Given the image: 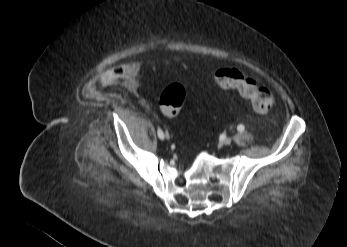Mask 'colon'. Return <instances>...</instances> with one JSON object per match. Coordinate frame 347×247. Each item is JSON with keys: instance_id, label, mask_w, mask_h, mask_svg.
I'll return each instance as SVG.
<instances>
[{"instance_id": "obj_1", "label": "colon", "mask_w": 347, "mask_h": 247, "mask_svg": "<svg viewBox=\"0 0 347 247\" xmlns=\"http://www.w3.org/2000/svg\"><path fill=\"white\" fill-rule=\"evenodd\" d=\"M215 81L222 90H238L243 97L251 102L257 112H268L274 104V96L267 87L258 86L252 78L237 69L218 70L215 74ZM185 95V90L180 84L174 83L168 86L160 97L162 112L168 117H176L184 103Z\"/></svg>"}]
</instances>
